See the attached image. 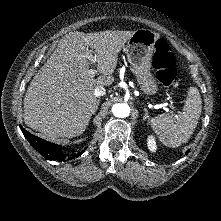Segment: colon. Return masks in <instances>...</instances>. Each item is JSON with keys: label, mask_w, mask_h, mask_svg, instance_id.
<instances>
[{"label": "colon", "mask_w": 221, "mask_h": 221, "mask_svg": "<svg viewBox=\"0 0 221 221\" xmlns=\"http://www.w3.org/2000/svg\"><path fill=\"white\" fill-rule=\"evenodd\" d=\"M153 66L156 69V77L162 85L175 87V58L171 47L164 39H158L155 43Z\"/></svg>", "instance_id": "1"}]
</instances>
